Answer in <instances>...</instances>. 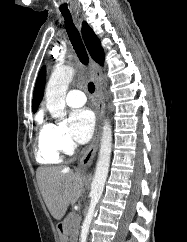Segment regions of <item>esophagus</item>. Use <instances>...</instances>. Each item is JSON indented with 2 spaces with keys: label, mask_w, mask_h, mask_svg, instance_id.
I'll list each match as a JSON object with an SVG mask.
<instances>
[{
  "label": "esophagus",
  "mask_w": 187,
  "mask_h": 242,
  "mask_svg": "<svg viewBox=\"0 0 187 242\" xmlns=\"http://www.w3.org/2000/svg\"><path fill=\"white\" fill-rule=\"evenodd\" d=\"M92 74L95 79L96 84V96L98 98V106H97V124L94 137L90 143V145L85 149L82 158L80 159V169L86 171L90 168L95 154L98 150L101 129H102V119L105 112V98L102 87V72L97 63L94 61L91 62Z\"/></svg>",
  "instance_id": "1"
}]
</instances>
